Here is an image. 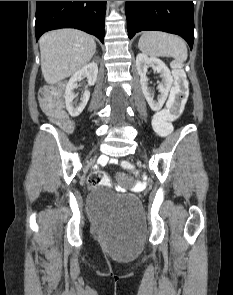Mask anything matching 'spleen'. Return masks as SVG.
<instances>
[{
	"mask_svg": "<svg viewBox=\"0 0 233 295\" xmlns=\"http://www.w3.org/2000/svg\"><path fill=\"white\" fill-rule=\"evenodd\" d=\"M138 47L151 57H173L179 62H183L187 58L185 41L177 35L166 32H144L139 39Z\"/></svg>",
	"mask_w": 233,
	"mask_h": 295,
	"instance_id": "spleen-1",
	"label": "spleen"
}]
</instances>
